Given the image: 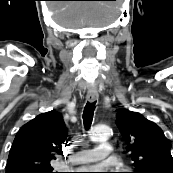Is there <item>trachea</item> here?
I'll use <instances>...</instances> for the list:
<instances>
[{
    "mask_svg": "<svg viewBox=\"0 0 173 173\" xmlns=\"http://www.w3.org/2000/svg\"><path fill=\"white\" fill-rule=\"evenodd\" d=\"M96 102H87L83 111V123L86 130H88L92 124L94 110Z\"/></svg>",
    "mask_w": 173,
    "mask_h": 173,
    "instance_id": "3493384b",
    "label": "trachea"
}]
</instances>
